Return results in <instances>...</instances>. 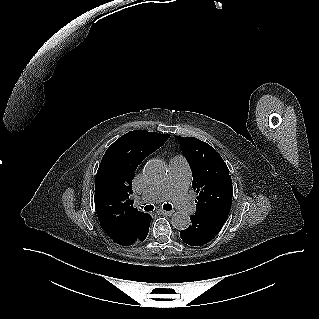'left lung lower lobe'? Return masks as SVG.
<instances>
[{
  "label": "left lung lower lobe",
  "mask_w": 319,
  "mask_h": 319,
  "mask_svg": "<svg viewBox=\"0 0 319 319\" xmlns=\"http://www.w3.org/2000/svg\"><path fill=\"white\" fill-rule=\"evenodd\" d=\"M227 217L220 213H195L190 216L192 224L180 232V237L188 245H204L219 233Z\"/></svg>",
  "instance_id": "1"
}]
</instances>
